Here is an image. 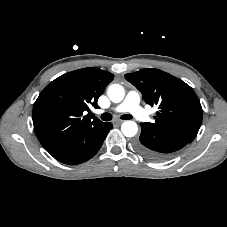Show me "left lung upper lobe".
Listing matches in <instances>:
<instances>
[{
	"mask_svg": "<svg viewBox=\"0 0 227 227\" xmlns=\"http://www.w3.org/2000/svg\"><path fill=\"white\" fill-rule=\"evenodd\" d=\"M125 78L147 104L158 106L155 121L144 123L146 127L194 140L202 123V107L188 84L159 69H141Z\"/></svg>",
	"mask_w": 227,
	"mask_h": 227,
	"instance_id": "left-lung-upper-lobe-1",
	"label": "left lung upper lobe"
}]
</instances>
